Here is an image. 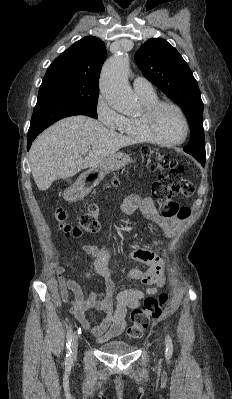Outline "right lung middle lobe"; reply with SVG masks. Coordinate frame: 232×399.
Here are the masks:
<instances>
[{
    "mask_svg": "<svg viewBox=\"0 0 232 399\" xmlns=\"http://www.w3.org/2000/svg\"><path fill=\"white\" fill-rule=\"evenodd\" d=\"M99 88L86 87L65 80H43L38 98L55 99L74 104L97 118Z\"/></svg>",
    "mask_w": 232,
    "mask_h": 399,
    "instance_id": "1",
    "label": "right lung middle lobe"
}]
</instances>
